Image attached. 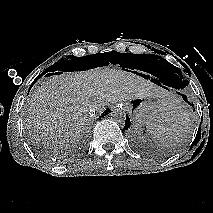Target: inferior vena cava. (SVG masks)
Masks as SVG:
<instances>
[{
    "instance_id": "inferior-vena-cava-1",
    "label": "inferior vena cava",
    "mask_w": 213,
    "mask_h": 213,
    "mask_svg": "<svg viewBox=\"0 0 213 213\" xmlns=\"http://www.w3.org/2000/svg\"><path fill=\"white\" fill-rule=\"evenodd\" d=\"M88 113H89V115H91V116H92V115H94V113H95V112H94V110H92V109H91V110H89V112H88Z\"/></svg>"
}]
</instances>
